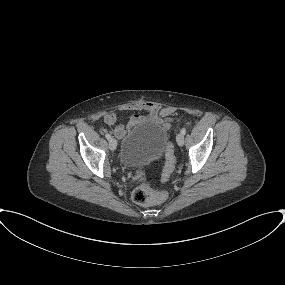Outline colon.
<instances>
[{"mask_svg":"<svg viewBox=\"0 0 285 285\" xmlns=\"http://www.w3.org/2000/svg\"><path fill=\"white\" fill-rule=\"evenodd\" d=\"M176 160L172 152L168 153L167 165L164 170V177L168 178L172 173ZM132 199L139 205H154L164 201L165 195L157 193L150 182L140 184L132 193Z\"/></svg>","mask_w":285,"mask_h":285,"instance_id":"colon-1","label":"colon"}]
</instances>
